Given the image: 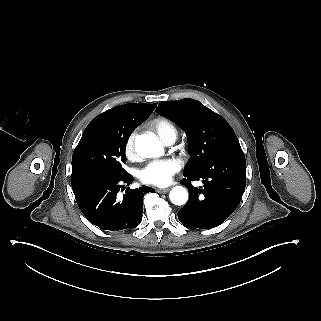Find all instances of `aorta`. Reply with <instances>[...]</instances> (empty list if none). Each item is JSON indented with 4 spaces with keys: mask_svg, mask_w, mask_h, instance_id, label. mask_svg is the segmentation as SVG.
<instances>
[{
    "mask_svg": "<svg viewBox=\"0 0 321 321\" xmlns=\"http://www.w3.org/2000/svg\"><path fill=\"white\" fill-rule=\"evenodd\" d=\"M135 147L137 153L144 157H156L163 153L161 143L148 134L137 136ZM169 198L175 205H184L188 200V192L184 187L176 186L170 191Z\"/></svg>",
    "mask_w": 321,
    "mask_h": 321,
    "instance_id": "obj_1",
    "label": "aorta"
}]
</instances>
